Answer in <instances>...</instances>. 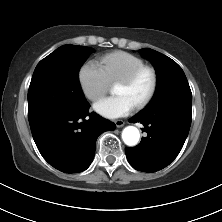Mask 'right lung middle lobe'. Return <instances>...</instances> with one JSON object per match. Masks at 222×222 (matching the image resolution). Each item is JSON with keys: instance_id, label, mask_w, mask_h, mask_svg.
Instances as JSON below:
<instances>
[{"instance_id": "right-lung-middle-lobe-1", "label": "right lung middle lobe", "mask_w": 222, "mask_h": 222, "mask_svg": "<svg viewBox=\"0 0 222 222\" xmlns=\"http://www.w3.org/2000/svg\"><path fill=\"white\" fill-rule=\"evenodd\" d=\"M92 51L84 46L63 45L41 60L29 87L28 113L79 109L87 105L78 73Z\"/></svg>"}]
</instances>
